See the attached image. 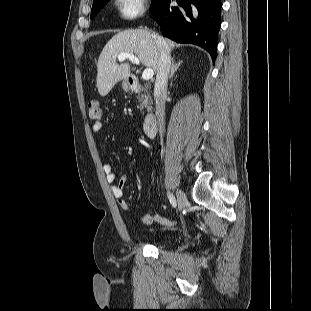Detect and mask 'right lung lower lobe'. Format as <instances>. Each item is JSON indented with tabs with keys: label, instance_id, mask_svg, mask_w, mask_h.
<instances>
[{
	"label": "right lung lower lobe",
	"instance_id": "98d812e1",
	"mask_svg": "<svg viewBox=\"0 0 311 311\" xmlns=\"http://www.w3.org/2000/svg\"><path fill=\"white\" fill-rule=\"evenodd\" d=\"M160 0L150 16L160 25L162 34L179 43H192L207 50L213 61L217 56L221 24V0Z\"/></svg>",
	"mask_w": 311,
	"mask_h": 311
}]
</instances>
